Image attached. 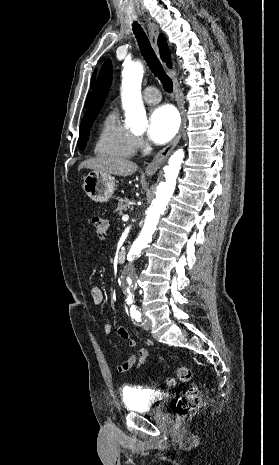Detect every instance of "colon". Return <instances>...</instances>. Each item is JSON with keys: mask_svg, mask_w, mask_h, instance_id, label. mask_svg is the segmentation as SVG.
Returning a JSON list of instances; mask_svg holds the SVG:
<instances>
[{"mask_svg": "<svg viewBox=\"0 0 279 465\" xmlns=\"http://www.w3.org/2000/svg\"><path fill=\"white\" fill-rule=\"evenodd\" d=\"M92 226L99 238H104L107 233V222L105 219L98 215L92 217ZM192 370L188 367H179L177 369V377L182 382H189L192 378ZM166 385L168 387H175L177 380L174 377H167ZM200 405V396L197 388H189L182 394L176 404L177 424L179 425L183 419L195 411Z\"/></svg>", "mask_w": 279, "mask_h": 465, "instance_id": "colon-1", "label": "colon"}]
</instances>
